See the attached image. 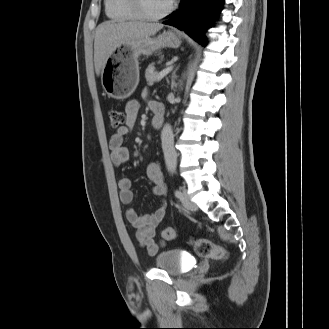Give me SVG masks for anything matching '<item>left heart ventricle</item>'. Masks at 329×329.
Here are the masks:
<instances>
[{
  "label": "left heart ventricle",
  "instance_id": "b2bd125f",
  "mask_svg": "<svg viewBox=\"0 0 329 329\" xmlns=\"http://www.w3.org/2000/svg\"><path fill=\"white\" fill-rule=\"evenodd\" d=\"M146 13L155 15L163 12L171 3V0H141Z\"/></svg>",
  "mask_w": 329,
  "mask_h": 329
}]
</instances>
